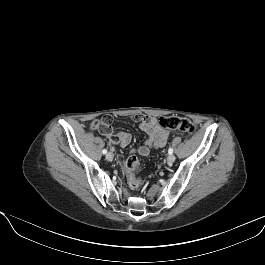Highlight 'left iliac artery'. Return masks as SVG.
Here are the masks:
<instances>
[{
    "label": "left iliac artery",
    "instance_id": "1",
    "mask_svg": "<svg viewBox=\"0 0 265 265\" xmlns=\"http://www.w3.org/2000/svg\"><path fill=\"white\" fill-rule=\"evenodd\" d=\"M168 153L169 154H172L173 153V148L172 147L169 148Z\"/></svg>",
    "mask_w": 265,
    "mask_h": 265
}]
</instances>
